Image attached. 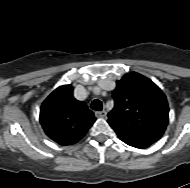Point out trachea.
<instances>
[{
  "label": "trachea",
  "instance_id": "trachea-1",
  "mask_svg": "<svg viewBox=\"0 0 190 188\" xmlns=\"http://www.w3.org/2000/svg\"><path fill=\"white\" fill-rule=\"evenodd\" d=\"M102 107H103L102 102L98 99L93 100L91 103V109H93L95 111H101Z\"/></svg>",
  "mask_w": 190,
  "mask_h": 188
}]
</instances>
